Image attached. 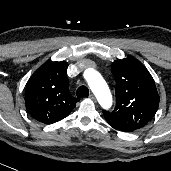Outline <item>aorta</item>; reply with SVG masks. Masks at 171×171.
Instances as JSON below:
<instances>
[{"label": "aorta", "instance_id": "obj_1", "mask_svg": "<svg viewBox=\"0 0 171 171\" xmlns=\"http://www.w3.org/2000/svg\"><path fill=\"white\" fill-rule=\"evenodd\" d=\"M87 81L102 107L109 108L112 105V96L102 76L97 71L89 69Z\"/></svg>", "mask_w": 171, "mask_h": 171}]
</instances>
